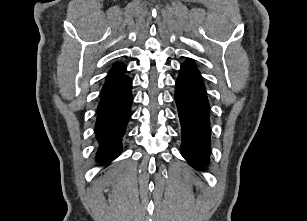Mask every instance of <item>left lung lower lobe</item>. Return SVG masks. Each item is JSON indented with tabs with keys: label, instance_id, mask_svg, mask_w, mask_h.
I'll use <instances>...</instances> for the list:
<instances>
[{
	"label": "left lung lower lobe",
	"instance_id": "obj_1",
	"mask_svg": "<svg viewBox=\"0 0 307 221\" xmlns=\"http://www.w3.org/2000/svg\"><path fill=\"white\" fill-rule=\"evenodd\" d=\"M175 101L182 126V156L193 166L209 163V102L202 76L192 60L180 69Z\"/></svg>",
	"mask_w": 307,
	"mask_h": 221
}]
</instances>
